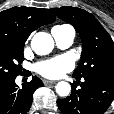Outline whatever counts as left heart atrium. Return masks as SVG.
<instances>
[{"instance_id": "1", "label": "left heart atrium", "mask_w": 114, "mask_h": 114, "mask_svg": "<svg viewBox=\"0 0 114 114\" xmlns=\"http://www.w3.org/2000/svg\"><path fill=\"white\" fill-rule=\"evenodd\" d=\"M73 66L74 63L71 57L68 55H62L38 62L35 65V70L46 78H60L67 72L71 71Z\"/></svg>"}]
</instances>
